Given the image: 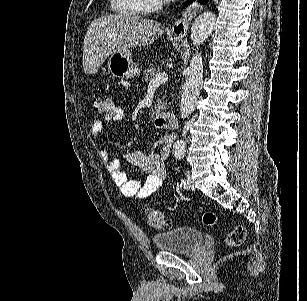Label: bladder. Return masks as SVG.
Masks as SVG:
<instances>
[{
	"mask_svg": "<svg viewBox=\"0 0 307 301\" xmlns=\"http://www.w3.org/2000/svg\"><path fill=\"white\" fill-rule=\"evenodd\" d=\"M204 241V235L195 228L181 227L153 236L158 250L185 253L195 250Z\"/></svg>",
	"mask_w": 307,
	"mask_h": 301,
	"instance_id": "1",
	"label": "bladder"
}]
</instances>
